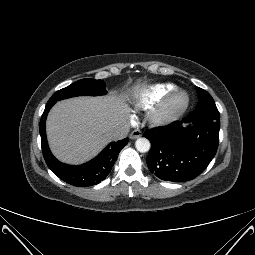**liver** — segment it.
I'll return each mask as SVG.
<instances>
[{"mask_svg": "<svg viewBox=\"0 0 255 255\" xmlns=\"http://www.w3.org/2000/svg\"><path fill=\"white\" fill-rule=\"evenodd\" d=\"M125 122V107L114 94L62 100L47 118L51 151L62 162L83 163L99 153L112 140L109 133Z\"/></svg>", "mask_w": 255, "mask_h": 255, "instance_id": "6515ba94", "label": "liver"}]
</instances>
